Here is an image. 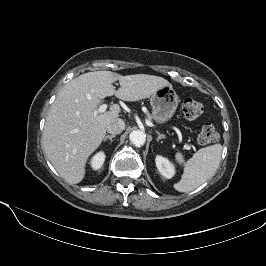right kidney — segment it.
Here are the masks:
<instances>
[{"label":"right kidney","instance_id":"right-kidney-1","mask_svg":"<svg viewBox=\"0 0 266 266\" xmlns=\"http://www.w3.org/2000/svg\"><path fill=\"white\" fill-rule=\"evenodd\" d=\"M105 161L104 152H98L91 160V166L94 170L100 169Z\"/></svg>","mask_w":266,"mask_h":266}]
</instances>
